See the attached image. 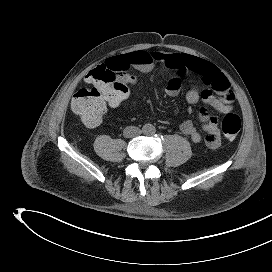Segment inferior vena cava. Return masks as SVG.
<instances>
[{
  "instance_id": "602c4592",
  "label": "inferior vena cava",
  "mask_w": 272,
  "mask_h": 272,
  "mask_svg": "<svg viewBox=\"0 0 272 272\" xmlns=\"http://www.w3.org/2000/svg\"><path fill=\"white\" fill-rule=\"evenodd\" d=\"M139 134H141V130L135 126H128L123 131V135L126 138H132V137L138 136Z\"/></svg>"
}]
</instances>
